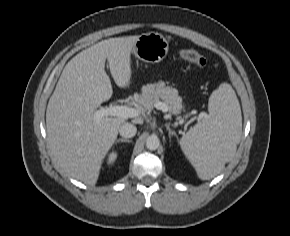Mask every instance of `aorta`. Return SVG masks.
<instances>
[{"label": "aorta", "mask_w": 290, "mask_h": 236, "mask_svg": "<svg viewBox=\"0 0 290 236\" xmlns=\"http://www.w3.org/2000/svg\"><path fill=\"white\" fill-rule=\"evenodd\" d=\"M160 145L159 138L155 135H151L146 140V147L147 149L153 151L156 150Z\"/></svg>", "instance_id": "1"}]
</instances>
